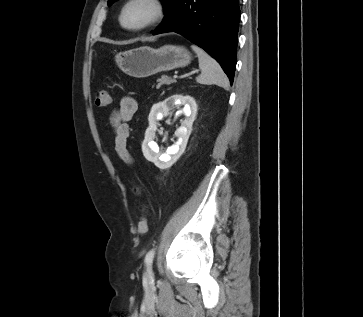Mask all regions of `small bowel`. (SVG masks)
I'll return each mask as SVG.
<instances>
[{
	"label": "small bowel",
	"instance_id": "c3829d8e",
	"mask_svg": "<svg viewBox=\"0 0 363 317\" xmlns=\"http://www.w3.org/2000/svg\"><path fill=\"white\" fill-rule=\"evenodd\" d=\"M137 108V101L133 97L125 96L121 99L118 109L110 117L115 151L119 158L127 164L132 163V157L127 148V141L130 136L128 123L133 118Z\"/></svg>",
	"mask_w": 363,
	"mask_h": 317
}]
</instances>
